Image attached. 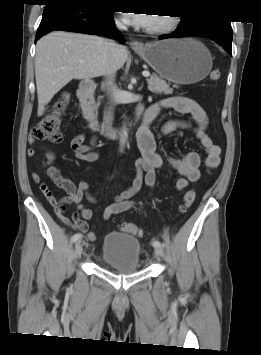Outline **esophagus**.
Here are the masks:
<instances>
[{
    "instance_id": "esophagus-1",
    "label": "esophagus",
    "mask_w": 261,
    "mask_h": 355,
    "mask_svg": "<svg viewBox=\"0 0 261 355\" xmlns=\"http://www.w3.org/2000/svg\"><path fill=\"white\" fill-rule=\"evenodd\" d=\"M129 44H130L131 48L134 50H141L144 48V44L139 41H130Z\"/></svg>"
}]
</instances>
